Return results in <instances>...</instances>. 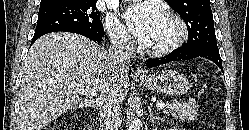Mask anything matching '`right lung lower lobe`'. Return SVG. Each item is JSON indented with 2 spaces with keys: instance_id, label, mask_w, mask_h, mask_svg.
I'll return each mask as SVG.
<instances>
[{
  "instance_id": "1",
  "label": "right lung lower lobe",
  "mask_w": 249,
  "mask_h": 130,
  "mask_svg": "<svg viewBox=\"0 0 249 130\" xmlns=\"http://www.w3.org/2000/svg\"><path fill=\"white\" fill-rule=\"evenodd\" d=\"M61 31H65V32H70V33H77V34H81L91 40H93L94 42H101L103 39V36H99L97 34L91 33L89 31L83 30V29H65V30H61ZM44 34H34L32 41H31V45Z\"/></svg>"
}]
</instances>
